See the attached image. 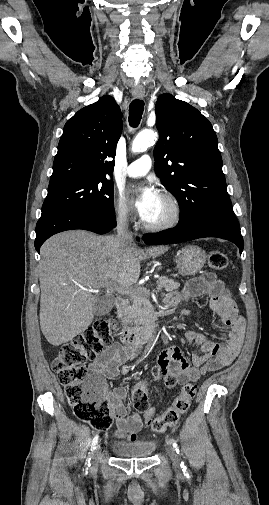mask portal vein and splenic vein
I'll return each instance as SVG.
<instances>
[{
	"label": "portal vein and splenic vein",
	"instance_id": "18ae733b",
	"mask_svg": "<svg viewBox=\"0 0 269 505\" xmlns=\"http://www.w3.org/2000/svg\"><path fill=\"white\" fill-rule=\"evenodd\" d=\"M110 290H115L118 293H123V294H132V293H134L136 288H131V287L122 286V285L118 286L117 284H114L110 287ZM90 291L94 292L93 289H91Z\"/></svg>",
	"mask_w": 269,
	"mask_h": 505
}]
</instances>
